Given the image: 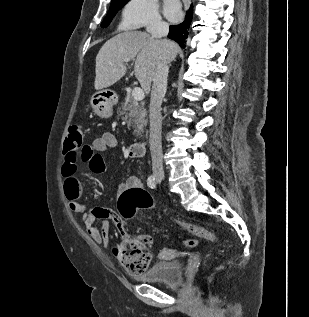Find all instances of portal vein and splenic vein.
<instances>
[{"label":"portal vein and splenic vein","mask_w":309,"mask_h":317,"mask_svg":"<svg viewBox=\"0 0 309 317\" xmlns=\"http://www.w3.org/2000/svg\"><path fill=\"white\" fill-rule=\"evenodd\" d=\"M125 62H128V59H125ZM132 97L136 101H141L144 99V91L139 87H135L132 91Z\"/></svg>","instance_id":"1"}]
</instances>
